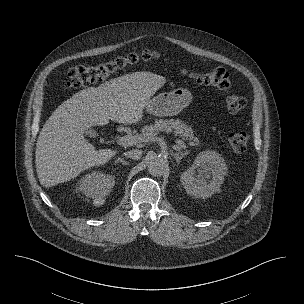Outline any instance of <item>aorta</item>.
Segmentation results:
<instances>
[{"label":"aorta","mask_w":304,"mask_h":304,"mask_svg":"<svg viewBox=\"0 0 304 304\" xmlns=\"http://www.w3.org/2000/svg\"><path fill=\"white\" fill-rule=\"evenodd\" d=\"M168 170V162L165 158L156 156L150 159L148 171L154 176H161Z\"/></svg>","instance_id":"1"}]
</instances>
